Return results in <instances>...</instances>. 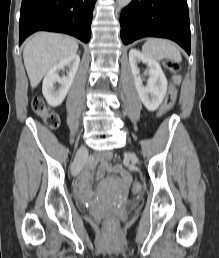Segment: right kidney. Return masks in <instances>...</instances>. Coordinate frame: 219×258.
I'll return each mask as SVG.
<instances>
[{
	"label": "right kidney",
	"instance_id": "1",
	"mask_svg": "<svg viewBox=\"0 0 219 258\" xmlns=\"http://www.w3.org/2000/svg\"><path fill=\"white\" fill-rule=\"evenodd\" d=\"M80 63L79 55H72L54 65L43 80L42 93L50 106H59L69 92ZM68 68L66 76L60 77L59 72ZM58 83V89L55 84Z\"/></svg>",
	"mask_w": 219,
	"mask_h": 258
}]
</instances>
